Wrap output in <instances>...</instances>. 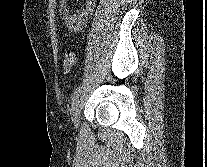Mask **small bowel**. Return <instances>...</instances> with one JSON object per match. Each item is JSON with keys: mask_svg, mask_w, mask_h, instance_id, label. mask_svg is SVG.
<instances>
[{"mask_svg": "<svg viewBox=\"0 0 207 167\" xmlns=\"http://www.w3.org/2000/svg\"><path fill=\"white\" fill-rule=\"evenodd\" d=\"M96 0H84L80 7H73L71 0H60L59 11L62 23L72 32L81 31L94 9Z\"/></svg>", "mask_w": 207, "mask_h": 167, "instance_id": "c3829d8e", "label": "small bowel"}]
</instances>
